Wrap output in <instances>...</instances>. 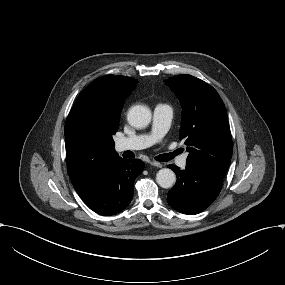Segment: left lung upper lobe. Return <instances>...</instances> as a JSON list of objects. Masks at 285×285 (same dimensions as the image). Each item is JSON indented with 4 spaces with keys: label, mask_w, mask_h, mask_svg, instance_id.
Wrapping results in <instances>:
<instances>
[{
    "label": "left lung upper lobe",
    "mask_w": 285,
    "mask_h": 285,
    "mask_svg": "<svg viewBox=\"0 0 285 285\" xmlns=\"http://www.w3.org/2000/svg\"><path fill=\"white\" fill-rule=\"evenodd\" d=\"M182 107L180 139L185 140L187 165L224 178L232 156L227 112L217 91L206 82L179 75L164 81Z\"/></svg>",
    "instance_id": "5c2ea615"
}]
</instances>
